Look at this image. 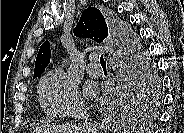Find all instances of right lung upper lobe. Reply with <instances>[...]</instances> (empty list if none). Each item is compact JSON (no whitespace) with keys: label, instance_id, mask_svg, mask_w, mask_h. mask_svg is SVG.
I'll use <instances>...</instances> for the list:
<instances>
[{"label":"right lung upper lobe","instance_id":"right-lung-upper-lobe-1","mask_svg":"<svg viewBox=\"0 0 184 133\" xmlns=\"http://www.w3.org/2000/svg\"><path fill=\"white\" fill-rule=\"evenodd\" d=\"M77 37L90 38L97 43H101L108 36V27L103 14L95 7H88L83 11L81 18L74 29ZM51 51L49 42L45 41L37 54L34 76L39 77L49 64Z\"/></svg>","mask_w":184,"mask_h":133}]
</instances>
